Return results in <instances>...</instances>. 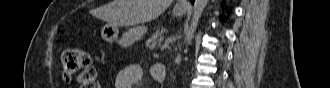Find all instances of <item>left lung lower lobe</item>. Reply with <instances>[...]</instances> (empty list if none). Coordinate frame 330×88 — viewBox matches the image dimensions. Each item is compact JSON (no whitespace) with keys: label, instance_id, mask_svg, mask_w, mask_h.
I'll list each match as a JSON object with an SVG mask.
<instances>
[{"label":"left lung lower lobe","instance_id":"1","mask_svg":"<svg viewBox=\"0 0 330 88\" xmlns=\"http://www.w3.org/2000/svg\"><path fill=\"white\" fill-rule=\"evenodd\" d=\"M192 3L194 2V0H190ZM222 19L225 20L226 17L222 16Z\"/></svg>","mask_w":330,"mask_h":88}]
</instances>
